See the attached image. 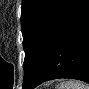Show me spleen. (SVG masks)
I'll return each instance as SVG.
<instances>
[{
	"mask_svg": "<svg viewBox=\"0 0 89 89\" xmlns=\"http://www.w3.org/2000/svg\"><path fill=\"white\" fill-rule=\"evenodd\" d=\"M59 89H86L87 85L80 81H65L58 85Z\"/></svg>",
	"mask_w": 89,
	"mask_h": 89,
	"instance_id": "spleen-1",
	"label": "spleen"
}]
</instances>
